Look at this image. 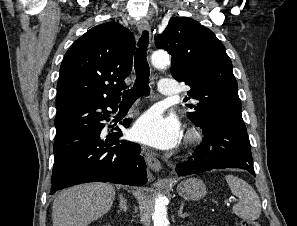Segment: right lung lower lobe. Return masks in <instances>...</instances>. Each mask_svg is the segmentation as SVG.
<instances>
[{
	"label": "right lung lower lobe",
	"mask_w": 297,
	"mask_h": 226,
	"mask_svg": "<svg viewBox=\"0 0 297 226\" xmlns=\"http://www.w3.org/2000/svg\"><path fill=\"white\" fill-rule=\"evenodd\" d=\"M119 102H83L57 111L55 118L54 166L50 194L86 182H112L143 185L146 164L138 144L121 141L118 132L105 136L102 120H108V107L117 110ZM128 127L130 119L123 121Z\"/></svg>",
	"instance_id": "obj_1"
}]
</instances>
